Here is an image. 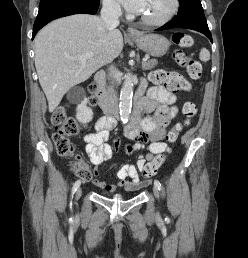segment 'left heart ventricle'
I'll use <instances>...</instances> for the list:
<instances>
[{
    "mask_svg": "<svg viewBox=\"0 0 248 258\" xmlns=\"http://www.w3.org/2000/svg\"><path fill=\"white\" fill-rule=\"evenodd\" d=\"M172 7V0H145L141 17L159 19L165 16Z\"/></svg>",
    "mask_w": 248,
    "mask_h": 258,
    "instance_id": "obj_1",
    "label": "left heart ventricle"
}]
</instances>
